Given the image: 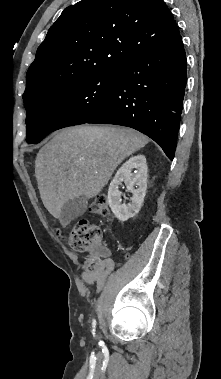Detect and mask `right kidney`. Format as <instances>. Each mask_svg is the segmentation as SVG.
<instances>
[{
    "mask_svg": "<svg viewBox=\"0 0 221 379\" xmlns=\"http://www.w3.org/2000/svg\"><path fill=\"white\" fill-rule=\"evenodd\" d=\"M147 177L148 167L146 158L142 154L129 158L116 172L109 185L108 203L119 221H127L139 212L146 194ZM122 183H125L132 193L131 202L128 204L122 203V192L119 191Z\"/></svg>",
    "mask_w": 221,
    "mask_h": 379,
    "instance_id": "obj_1",
    "label": "right kidney"
}]
</instances>
